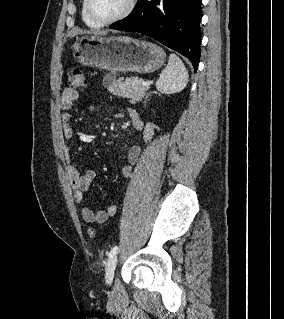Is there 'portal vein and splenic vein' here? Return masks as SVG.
I'll use <instances>...</instances> for the list:
<instances>
[{
  "label": "portal vein and splenic vein",
  "instance_id": "1",
  "mask_svg": "<svg viewBox=\"0 0 284 319\" xmlns=\"http://www.w3.org/2000/svg\"><path fill=\"white\" fill-rule=\"evenodd\" d=\"M142 85L148 87L150 85V83L148 81H143Z\"/></svg>",
  "mask_w": 284,
  "mask_h": 319
}]
</instances>
